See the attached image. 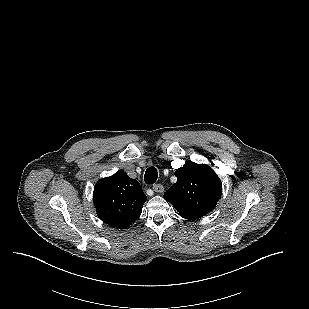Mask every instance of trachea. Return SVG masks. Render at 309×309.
I'll use <instances>...</instances> for the list:
<instances>
[{
  "instance_id": "trachea-1",
  "label": "trachea",
  "mask_w": 309,
  "mask_h": 309,
  "mask_svg": "<svg viewBox=\"0 0 309 309\" xmlns=\"http://www.w3.org/2000/svg\"><path fill=\"white\" fill-rule=\"evenodd\" d=\"M157 178H158L157 169L155 167H149L144 175L145 182L147 184H153L156 182Z\"/></svg>"
}]
</instances>
